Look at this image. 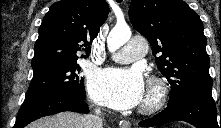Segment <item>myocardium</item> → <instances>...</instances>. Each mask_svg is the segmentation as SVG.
<instances>
[{
	"label": "myocardium",
	"instance_id": "1",
	"mask_svg": "<svg viewBox=\"0 0 221 128\" xmlns=\"http://www.w3.org/2000/svg\"><path fill=\"white\" fill-rule=\"evenodd\" d=\"M167 97V87L160 78H150L147 85V97L140 105V112L152 114L161 109Z\"/></svg>",
	"mask_w": 221,
	"mask_h": 128
}]
</instances>
